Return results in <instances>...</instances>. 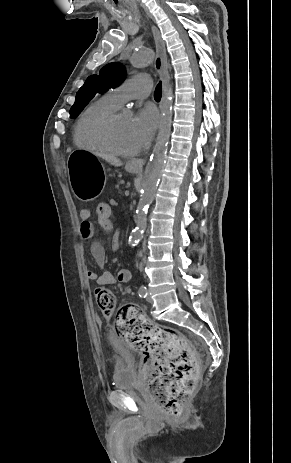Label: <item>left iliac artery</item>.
<instances>
[{
  "label": "left iliac artery",
  "instance_id": "obj_1",
  "mask_svg": "<svg viewBox=\"0 0 291 463\" xmlns=\"http://www.w3.org/2000/svg\"><path fill=\"white\" fill-rule=\"evenodd\" d=\"M138 295H139V297H141V298H145V297L147 296V288H146V286L142 285V286L139 288Z\"/></svg>",
  "mask_w": 291,
  "mask_h": 463
}]
</instances>
